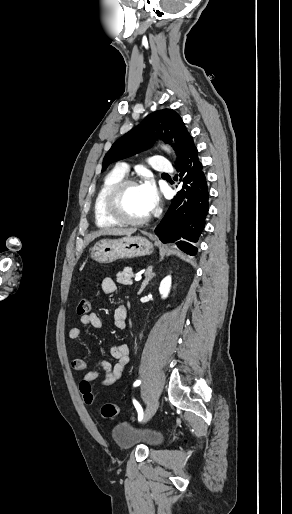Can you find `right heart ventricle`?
Wrapping results in <instances>:
<instances>
[{"label":"right heart ventricle","mask_w":292,"mask_h":514,"mask_svg":"<svg viewBox=\"0 0 292 514\" xmlns=\"http://www.w3.org/2000/svg\"><path fill=\"white\" fill-rule=\"evenodd\" d=\"M124 177L125 176L119 174L116 170H113L104 177L101 185L96 190L93 198V216L95 224L98 227L106 228L115 225V222L111 220L103 210V196L108 188L124 179Z\"/></svg>","instance_id":"e07e8e85"}]
</instances>
